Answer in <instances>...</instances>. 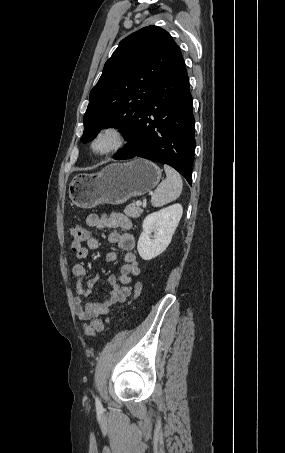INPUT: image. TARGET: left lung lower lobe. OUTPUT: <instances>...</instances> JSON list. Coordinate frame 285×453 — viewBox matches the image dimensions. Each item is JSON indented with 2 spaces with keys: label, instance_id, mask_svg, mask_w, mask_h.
<instances>
[{
  "label": "left lung lower lobe",
  "instance_id": "0a47b994",
  "mask_svg": "<svg viewBox=\"0 0 285 453\" xmlns=\"http://www.w3.org/2000/svg\"><path fill=\"white\" fill-rule=\"evenodd\" d=\"M195 119L189 78L180 49L161 75L139 114L127 144L113 158L135 156L168 164L191 185Z\"/></svg>",
  "mask_w": 285,
  "mask_h": 453
}]
</instances>
